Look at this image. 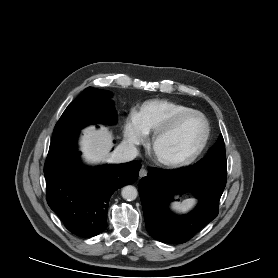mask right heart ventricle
<instances>
[{"instance_id":"right-heart-ventricle-1","label":"right heart ventricle","mask_w":278,"mask_h":278,"mask_svg":"<svg viewBox=\"0 0 278 278\" xmlns=\"http://www.w3.org/2000/svg\"><path fill=\"white\" fill-rule=\"evenodd\" d=\"M192 110L190 107L166 100L152 99L141 104L136 115L145 133L155 132L180 113Z\"/></svg>"}]
</instances>
